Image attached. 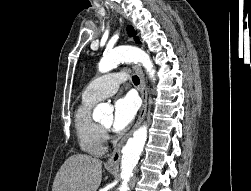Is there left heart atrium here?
<instances>
[{"label":"left heart atrium","instance_id":"left-heart-atrium-1","mask_svg":"<svg viewBox=\"0 0 251 191\" xmlns=\"http://www.w3.org/2000/svg\"><path fill=\"white\" fill-rule=\"evenodd\" d=\"M137 105L131 97L117 100L113 107L112 130L114 132L124 131L134 120Z\"/></svg>","mask_w":251,"mask_h":191}]
</instances>
